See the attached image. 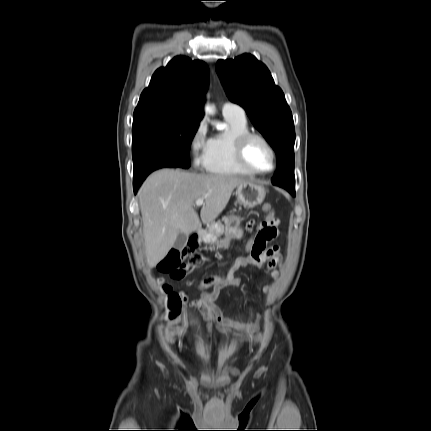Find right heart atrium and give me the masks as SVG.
I'll use <instances>...</instances> for the list:
<instances>
[{"label":"right heart atrium","instance_id":"obj_1","mask_svg":"<svg viewBox=\"0 0 431 431\" xmlns=\"http://www.w3.org/2000/svg\"><path fill=\"white\" fill-rule=\"evenodd\" d=\"M211 138L204 120L198 122L189 138V152L195 168H205L209 159Z\"/></svg>","mask_w":431,"mask_h":431}]
</instances>
